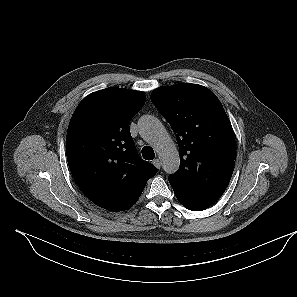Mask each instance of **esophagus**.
<instances>
[{
    "label": "esophagus",
    "mask_w": 297,
    "mask_h": 297,
    "mask_svg": "<svg viewBox=\"0 0 297 297\" xmlns=\"http://www.w3.org/2000/svg\"><path fill=\"white\" fill-rule=\"evenodd\" d=\"M153 164L157 169L161 168V162H160V160L158 158L153 160Z\"/></svg>",
    "instance_id": "1"
}]
</instances>
